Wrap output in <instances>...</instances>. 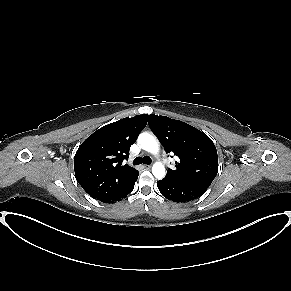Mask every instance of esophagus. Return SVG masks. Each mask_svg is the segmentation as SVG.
Listing matches in <instances>:
<instances>
[{
  "label": "esophagus",
  "instance_id": "1",
  "mask_svg": "<svg viewBox=\"0 0 291 291\" xmlns=\"http://www.w3.org/2000/svg\"><path fill=\"white\" fill-rule=\"evenodd\" d=\"M144 167H145L146 169H150V168H151V165H144Z\"/></svg>",
  "mask_w": 291,
  "mask_h": 291
}]
</instances>
